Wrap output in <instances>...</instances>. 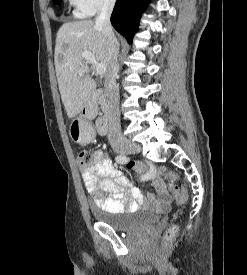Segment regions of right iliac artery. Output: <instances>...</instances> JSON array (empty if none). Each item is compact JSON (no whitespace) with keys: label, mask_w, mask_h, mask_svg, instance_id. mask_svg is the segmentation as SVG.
<instances>
[{"label":"right iliac artery","mask_w":247,"mask_h":275,"mask_svg":"<svg viewBox=\"0 0 247 275\" xmlns=\"http://www.w3.org/2000/svg\"><path fill=\"white\" fill-rule=\"evenodd\" d=\"M115 160L120 164H124L129 160V158L121 154L118 155ZM156 174H158V169L155 167V164H148L147 175L143 176L142 180H155Z\"/></svg>","instance_id":"1"}]
</instances>
